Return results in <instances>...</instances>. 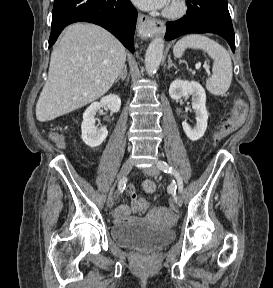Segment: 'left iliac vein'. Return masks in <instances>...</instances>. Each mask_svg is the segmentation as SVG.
Wrapping results in <instances>:
<instances>
[{
	"label": "left iliac vein",
	"mask_w": 273,
	"mask_h": 288,
	"mask_svg": "<svg viewBox=\"0 0 273 288\" xmlns=\"http://www.w3.org/2000/svg\"><path fill=\"white\" fill-rule=\"evenodd\" d=\"M143 172L145 174H147L149 176H153V177H157L160 173L157 166H151L148 168H144ZM174 202H175L176 206L181 207L182 203H183L182 197L179 194L175 195L174 196Z\"/></svg>",
	"instance_id": "4c4485c4"
}]
</instances>
